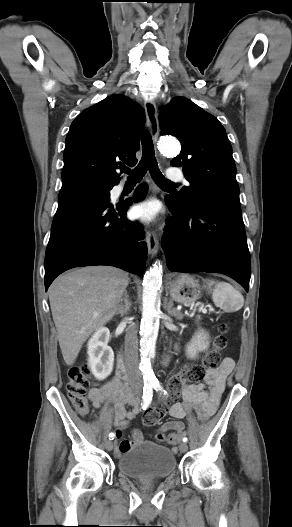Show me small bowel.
I'll use <instances>...</instances> for the list:
<instances>
[{
  "instance_id": "obj_1",
  "label": "small bowel",
  "mask_w": 292,
  "mask_h": 527,
  "mask_svg": "<svg viewBox=\"0 0 292 527\" xmlns=\"http://www.w3.org/2000/svg\"><path fill=\"white\" fill-rule=\"evenodd\" d=\"M233 367V360L225 358L218 368L208 370L205 376L207 389L204 384L183 385L181 389L182 401L173 403L169 409V414L174 420L166 422L159 427L156 439L160 442L167 440L173 445L177 444L180 435L184 432V423L181 420L192 408L199 412L201 420H206L212 416L219 406L225 389L226 378L233 370ZM89 398L96 408H99L104 403L112 405L114 425L117 428L116 435L118 438L121 436V430L128 426L129 421L134 418L139 410L138 400L133 397L128 385L117 375L102 386L91 389ZM166 432H168L167 437L165 436ZM141 441V432L135 430L133 432V440L121 441L117 446L116 453L121 454Z\"/></svg>"
}]
</instances>
